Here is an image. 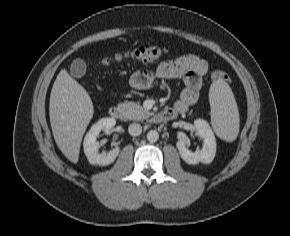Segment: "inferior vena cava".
Instances as JSON below:
<instances>
[{
    "mask_svg": "<svg viewBox=\"0 0 290 236\" xmlns=\"http://www.w3.org/2000/svg\"><path fill=\"white\" fill-rule=\"evenodd\" d=\"M128 132L132 136H139L142 133V126L137 123L130 124L128 127Z\"/></svg>",
    "mask_w": 290,
    "mask_h": 236,
    "instance_id": "1",
    "label": "inferior vena cava"
}]
</instances>
